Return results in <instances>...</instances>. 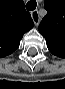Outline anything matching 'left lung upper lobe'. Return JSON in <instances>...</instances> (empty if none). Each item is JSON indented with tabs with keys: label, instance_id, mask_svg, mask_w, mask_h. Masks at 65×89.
Listing matches in <instances>:
<instances>
[{
	"label": "left lung upper lobe",
	"instance_id": "1",
	"mask_svg": "<svg viewBox=\"0 0 65 89\" xmlns=\"http://www.w3.org/2000/svg\"><path fill=\"white\" fill-rule=\"evenodd\" d=\"M46 16L39 25V32L46 43L65 46V0H45Z\"/></svg>",
	"mask_w": 65,
	"mask_h": 89
}]
</instances>
